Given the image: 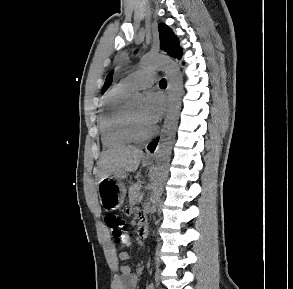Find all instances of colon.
Instances as JSON below:
<instances>
[{
  "instance_id": "5ec220e1",
  "label": "colon",
  "mask_w": 293,
  "mask_h": 289,
  "mask_svg": "<svg viewBox=\"0 0 293 289\" xmlns=\"http://www.w3.org/2000/svg\"><path fill=\"white\" fill-rule=\"evenodd\" d=\"M131 212L129 208L125 209L126 214H130ZM105 222L113 237L124 243L127 237V225L125 220L113 213H108L105 216Z\"/></svg>"
}]
</instances>
